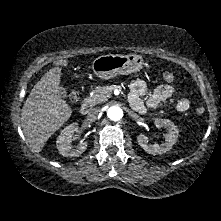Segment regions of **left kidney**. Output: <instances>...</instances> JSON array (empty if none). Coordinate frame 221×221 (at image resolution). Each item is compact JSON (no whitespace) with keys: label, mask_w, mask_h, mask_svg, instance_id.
Instances as JSON below:
<instances>
[{"label":"left kidney","mask_w":221,"mask_h":221,"mask_svg":"<svg viewBox=\"0 0 221 221\" xmlns=\"http://www.w3.org/2000/svg\"><path fill=\"white\" fill-rule=\"evenodd\" d=\"M155 126L157 128L165 127L168 129V133L165 136V143H162L161 145L148 144V137L144 134L137 136V142L149 154H163L169 151L177 142L179 130L174 123L168 119H155Z\"/></svg>","instance_id":"1"}]
</instances>
